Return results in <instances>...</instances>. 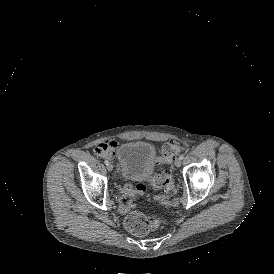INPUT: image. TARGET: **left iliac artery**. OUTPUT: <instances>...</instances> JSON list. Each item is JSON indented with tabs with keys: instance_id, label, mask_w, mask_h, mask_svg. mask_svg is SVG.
Returning a JSON list of instances; mask_svg holds the SVG:
<instances>
[{
	"instance_id": "obj_1",
	"label": "left iliac artery",
	"mask_w": 274,
	"mask_h": 274,
	"mask_svg": "<svg viewBox=\"0 0 274 274\" xmlns=\"http://www.w3.org/2000/svg\"><path fill=\"white\" fill-rule=\"evenodd\" d=\"M179 159H181V160L184 159V155H183V154L180 155V156H179Z\"/></svg>"
}]
</instances>
